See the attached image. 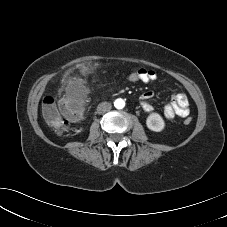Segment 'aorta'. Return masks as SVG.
I'll list each match as a JSON object with an SVG mask.
<instances>
[{"instance_id": "762f6f07", "label": "aorta", "mask_w": 227, "mask_h": 227, "mask_svg": "<svg viewBox=\"0 0 227 227\" xmlns=\"http://www.w3.org/2000/svg\"><path fill=\"white\" fill-rule=\"evenodd\" d=\"M114 107L116 109H123L125 107V101L122 98H118L114 101Z\"/></svg>"}]
</instances>
